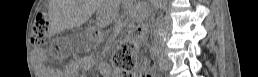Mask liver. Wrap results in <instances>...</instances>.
<instances>
[{
  "label": "liver",
  "mask_w": 258,
  "mask_h": 77,
  "mask_svg": "<svg viewBox=\"0 0 258 77\" xmlns=\"http://www.w3.org/2000/svg\"><path fill=\"white\" fill-rule=\"evenodd\" d=\"M60 20L67 25L76 24V2L75 0L62 1Z\"/></svg>",
  "instance_id": "liver-1"
}]
</instances>
